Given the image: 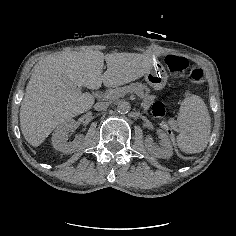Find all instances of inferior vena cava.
I'll return each mask as SVG.
<instances>
[{
	"label": "inferior vena cava",
	"instance_id": "1",
	"mask_svg": "<svg viewBox=\"0 0 236 236\" xmlns=\"http://www.w3.org/2000/svg\"><path fill=\"white\" fill-rule=\"evenodd\" d=\"M110 102H98L94 108L95 110L99 111V110H106L110 107Z\"/></svg>",
	"mask_w": 236,
	"mask_h": 236
}]
</instances>
